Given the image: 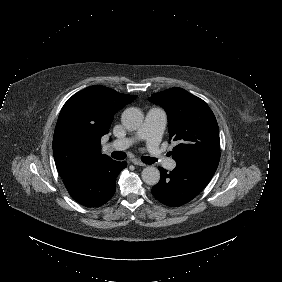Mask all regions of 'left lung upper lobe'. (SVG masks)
Instances as JSON below:
<instances>
[{"label":"left lung upper lobe","mask_w":282,"mask_h":282,"mask_svg":"<svg viewBox=\"0 0 282 282\" xmlns=\"http://www.w3.org/2000/svg\"><path fill=\"white\" fill-rule=\"evenodd\" d=\"M149 100L167 112L170 137L179 143L172 152L177 163L194 159L219 162V128L202 99L182 88H171L152 94Z\"/></svg>","instance_id":"5c2ea615"}]
</instances>
